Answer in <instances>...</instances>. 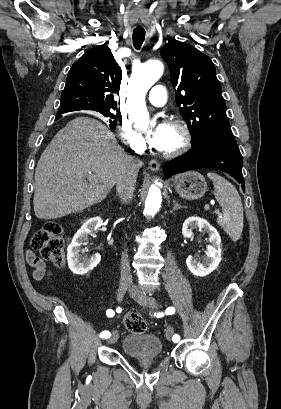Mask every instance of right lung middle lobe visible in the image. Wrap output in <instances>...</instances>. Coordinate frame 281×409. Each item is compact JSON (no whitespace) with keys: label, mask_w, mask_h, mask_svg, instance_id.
I'll return each mask as SVG.
<instances>
[{"label":"right lung middle lobe","mask_w":281,"mask_h":409,"mask_svg":"<svg viewBox=\"0 0 281 409\" xmlns=\"http://www.w3.org/2000/svg\"><path fill=\"white\" fill-rule=\"evenodd\" d=\"M101 114H103L106 117H110L112 119H115L116 116L111 112V111H106V112H100Z\"/></svg>","instance_id":"1"}]
</instances>
